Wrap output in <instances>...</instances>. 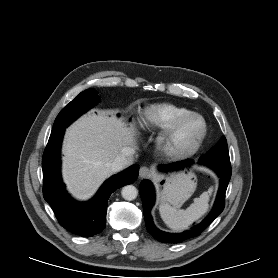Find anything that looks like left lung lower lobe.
<instances>
[{
  "label": "left lung lower lobe",
  "instance_id": "obj_1",
  "mask_svg": "<svg viewBox=\"0 0 278 278\" xmlns=\"http://www.w3.org/2000/svg\"><path fill=\"white\" fill-rule=\"evenodd\" d=\"M200 160V159H199ZM192 161L184 160L176 163H172L165 166H160L162 170H175L183 169L185 166L190 164ZM201 163H204L200 161ZM208 167L213 169L218 177L220 178V186L217 194L215 204L213 206L210 214L198 225L192 227L190 230L184 231L182 233H167L159 230L153 223L152 217L150 215V210L152 209L155 202L154 188L151 182L148 180H143L139 186V192L143 203L144 218L146 223V228L148 232L158 241L163 243H180L189 238L196 237L200 235L208 225H210L215 218H217L223 211L225 206V193L228 183L231 178V168L221 167L212 164H206Z\"/></svg>",
  "mask_w": 278,
  "mask_h": 278
}]
</instances>
